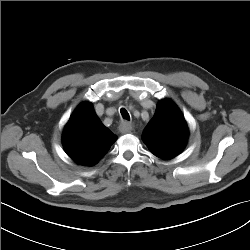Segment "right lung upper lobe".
<instances>
[{"mask_svg":"<svg viewBox=\"0 0 250 250\" xmlns=\"http://www.w3.org/2000/svg\"><path fill=\"white\" fill-rule=\"evenodd\" d=\"M115 136L99 120L91 103L80 104L63 132L67 154L78 164L95 165L116 141Z\"/></svg>","mask_w":250,"mask_h":250,"instance_id":"obj_1","label":"right lung upper lobe"}]
</instances>
